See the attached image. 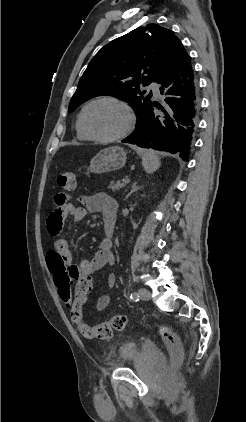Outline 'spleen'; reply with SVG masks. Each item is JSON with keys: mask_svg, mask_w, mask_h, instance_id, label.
<instances>
[{"mask_svg": "<svg viewBox=\"0 0 246 422\" xmlns=\"http://www.w3.org/2000/svg\"><path fill=\"white\" fill-rule=\"evenodd\" d=\"M142 163L147 173H153L160 166V161L157 154L150 150H144L142 152Z\"/></svg>", "mask_w": 246, "mask_h": 422, "instance_id": "3e777b00", "label": "spleen"}]
</instances>
